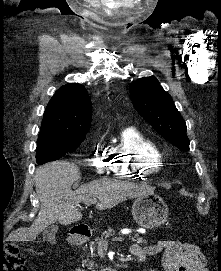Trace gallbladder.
<instances>
[{
  "mask_svg": "<svg viewBox=\"0 0 221 271\" xmlns=\"http://www.w3.org/2000/svg\"><path fill=\"white\" fill-rule=\"evenodd\" d=\"M57 231L58 225H56V223L48 225V227H46L42 233L43 241H55V233H57Z\"/></svg>",
  "mask_w": 221,
  "mask_h": 271,
  "instance_id": "gallbladder-1",
  "label": "gallbladder"
}]
</instances>
